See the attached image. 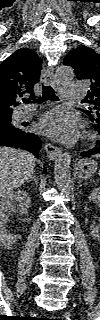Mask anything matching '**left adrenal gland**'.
Instances as JSON below:
<instances>
[{"label": "left adrenal gland", "mask_w": 100, "mask_h": 320, "mask_svg": "<svg viewBox=\"0 0 100 320\" xmlns=\"http://www.w3.org/2000/svg\"><path fill=\"white\" fill-rule=\"evenodd\" d=\"M82 185H87V183L82 184V181H79V187H82Z\"/></svg>", "instance_id": "1"}]
</instances>
